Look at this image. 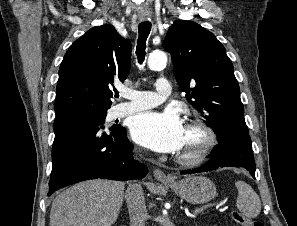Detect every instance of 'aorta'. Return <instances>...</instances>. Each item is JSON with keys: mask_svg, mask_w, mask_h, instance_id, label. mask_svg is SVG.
Here are the masks:
<instances>
[{"mask_svg": "<svg viewBox=\"0 0 297 226\" xmlns=\"http://www.w3.org/2000/svg\"><path fill=\"white\" fill-rule=\"evenodd\" d=\"M147 63L150 69H158L164 67L167 63V56L162 51L152 52L148 57Z\"/></svg>", "mask_w": 297, "mask_h": 226, "instance_id": "aorta-1", "label": "aorta"}]
</instances>
